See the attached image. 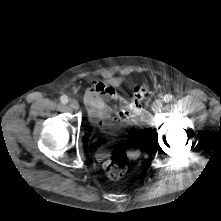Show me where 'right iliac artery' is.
<instances>
[{"label": "right iliac artery", "instance_id": "1", "mask_svg": "<svg viewBox=\"0 0 221 221\" xmlns=\"http://www.w3.org/2000/svg\"><path fill=\"white\" fill-rule=\"evenodd\" d=\"M60 100H61V102H62L63 104L68 103V97H67L66 95H62V96L60 97Z\"/></svg>", "mask_w": 221, "mask_h": 221}]
</instances>
